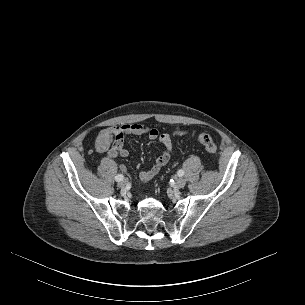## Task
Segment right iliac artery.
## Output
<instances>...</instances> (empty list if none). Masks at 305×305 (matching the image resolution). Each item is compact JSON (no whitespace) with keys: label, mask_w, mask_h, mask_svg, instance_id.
<instances>
[{"label":"right iliac artery","mask_w":305,"mask_h":305,"mask_svg":"<svg viewBox=\"0 0 305 305\" xmlns=\"http://www.w3.org/2000/svg\"><path fill=\"white\" fill-rule=\"evenodd\" d=\"M123 179H124V176H123L122 174H118V175L115 176V180H116L117 182H120V181H122Z\"/></svg>","instance_id":"right-iliac-artery-1"}]
</instances>
